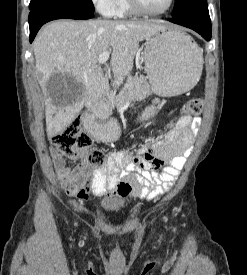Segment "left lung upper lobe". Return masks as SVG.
<instances>
[{"mask_svg":"<svg viewBox=\"0 0 247 275\" xmlns=\"http://www.w3.org/2000/svg\"><path fill=\"white\" fill-rule=\"evenodd\" d=\"M208 12L207 0H175L172 18L179 19Z\"/></svg>","mask_w":247,"mask_h":275,"instance_id":"obj_1","label":"left lung upper lobe"}]
</instances>
